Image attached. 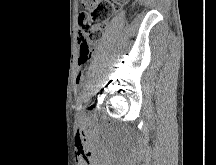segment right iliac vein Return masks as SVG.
Segmentation results:
<instances>
[{"label": "right iliac vein", "instance_id": "obj_1", "mask_svg": "<svg viewBox=\"0 0 216 165\" xmlns=\"http://www.w3.org/2000/svg\"><path fill=\"white\" fill-rule=\"evenodd\" d=\"M81 115H82V111H81V108H79L77 112V117H80Z\"/></svg>", "mask_w": 216, "mask_h": 165}]
</instances>
